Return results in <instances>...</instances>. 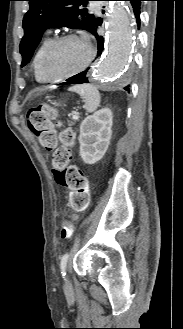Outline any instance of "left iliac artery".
I'll list each match as a JSON object with an SVG mask.
<instances>
[{
    "label": "left iliac artery",
    "instance_id": "44dca946",
    "mask_svg": "<svg viewBox=\"0 0 183 329\" xmlns=\"http://www.w3.org/2000/svg\"><path fill=\"white\" fill-rule=\"evenodd\" d=\"M68 257H69V254L66 253L61 258L60 268H61V273H62L63 277L66 275V266H67Z\"/></svg>",
    "mask_w": 183,
    "mask_h": 329
}]
</instances>
